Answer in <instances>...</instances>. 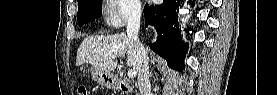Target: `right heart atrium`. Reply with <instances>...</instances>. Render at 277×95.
Here are the masks:
<instances>
[{
	"instance_id": "obj_1",
	"label": "right heart atrium",
	"mask_w": 277,
	"mask_h": 95,
	"mask_svg": "<svg viewBox=\"0 0 277 95\" xmlns=\"http://www.w3.org/2000/svg\"><path fill=\"white\" fill-rule=\"evenodd\" d=\"M110 3L106 11V21L114 29L122 28L129 20L139 15L138 0H110Z\"/></svg>"
}]
</instances>
